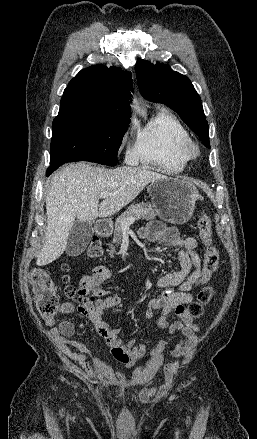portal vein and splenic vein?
Here are the masks:
<instances>
[{"label": "portal vein and splenic vein", "mask_w": 257, "mask_h": 439, "mask_svg": "<svg viewBox=\"0 0 257 439\" xmlns=\"http://www.w3.org/2000/svg\"><path fill=\"white\" fill-rule=\"evenodd\" d=\"M109 195H110L109 192L103 191V192H101L100 197L104 199V198H107ZM134 221H135L134 217H130V218L124 219V220L121 221V226H122V228H129L130 225Z\"/></svg>", "instance_id": "portal-vein-and-splenic-vein-1"}]
</instances>
